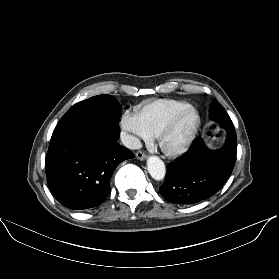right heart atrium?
Listing matches in <instances>:
<instances>
[{
    "label": "right heart atrium",
    "instance_id": "d8ad5b80",
    "mask_svg": "<svg viewBox=\"0 0 279 279\" xmlns=\"http://www.w3.org/2000/svg\"><path fill=\"white\" fill-rule=\"evenodd\" d=\"M120 129L124 141L131 148H136L142 141L150 139L136 113L130 111L124 112L120 119Z\"/></svg>",
    "mask_w": 279,
    "mask_h": 279
}]
</instances>
